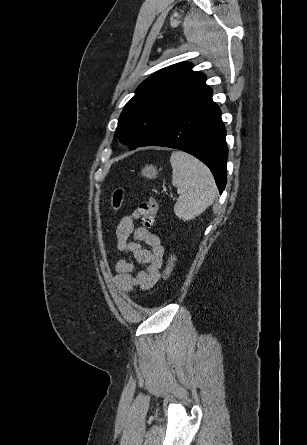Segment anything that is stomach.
I'll use <instances>...</instances> for the list:
<instances>
[{
    "label": "stomach",
    "mask_w": 307,
    "mask_h": 445,
    "mask_svg": "<svg viewBox=\"0 0 307 445\" xmlns=\"http://www.w3.org/2000/svg\"><path fill=\"white\" fill-rule=\"evenodd\" d=\"M143 176H146V178H156L158 174V170L156 166H153V164H146L144 168L141 170Z\"/></svg>",
    "instance_id": "obj_1"
}]
</instances>
